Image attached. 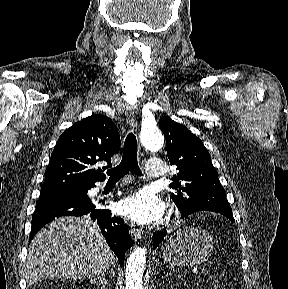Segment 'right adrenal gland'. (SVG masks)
<instances>
[{
    "label": "right adrenal gland",
    "instance_id": "obj_1",
    "mask_svg": "<svg viewBox=\"0 0 288 289\" xmlns=\"http://www.w3.org/2000/svg\"><path fill=\"white\" fill-rule=\"evenodd\" d=\"M91 281L96 283L100 289H106L107 281L104 273L101 274V276H97L96 278L91 279Z\"/></svg>",
    "mask_w": 288,
    "mask_h": 289
}]
</instances>
